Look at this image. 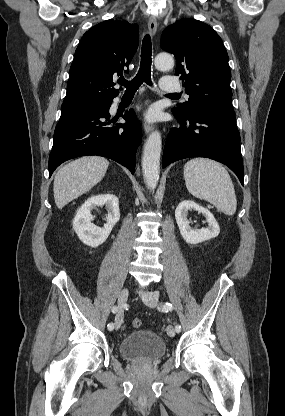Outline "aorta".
<instances>
[{"mask_svg":"<svg viewBox=\"0 0 285 416\" xmlns=\"http://www.w3.org/2000/svg\"><path fill=\"white\" fill-rule=\"evenodd\" d=\"M155 67L161 71L173 68L174 60L167 53H160L155 58ZM162 150L161 134L158 131L152 132L143 149L142 171L146 186L154 190L157 186L160 172V156Z\"/></svg>","mask_w":285,"mask_h":416,"instance_id":"obj_1","label":"aorta"}]
</instances>
